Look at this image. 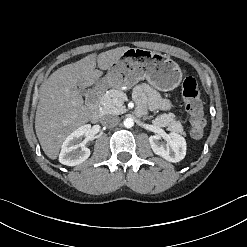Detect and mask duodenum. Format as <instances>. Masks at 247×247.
Listing matches in <instances>:
<instances>
[{"instance_id": "1", "label": "duodenum", "mask_w": 247, "mask_h": 247, "mask_svg": "<svg viewBox=\"0 0 247 247\" xmlns=\"http://www.w3.org/2000/svg\"><path fill=\"white\" fill-rule=\"evenodd\" d=\"M103 92V88L97 86L90 91L87 97V103L93 110V120H97L100 116L99 101L101 99V96L103 95Z\"/></svg>"}]
</instances>
